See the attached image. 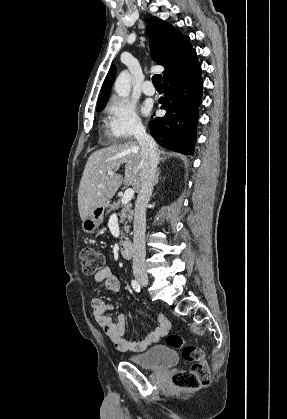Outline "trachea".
<instances>
[{
  "mask_svg": "<svg viewBox=\"0 0 287 419\" xmlns=\"http://www.w3.org/2000/svg\"><path fill=\"white\" fill-rule=\"evenodd\" d=\"M161 80H162V76L161 74H156L152 77V82L155 88H161Z\"/></svg>",
  "mask_w": 287,
  "mask_h": 419,
  "instance_id": "obj_1",
  "label": "trachea"
}]
</instances>
